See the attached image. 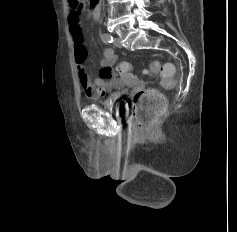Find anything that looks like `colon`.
<instances>
[{
	"mask_svg": "<svg viewBox=\"0 0 237 232\" xmlns=\"http://www.w3.org/2000/svg\"><path fill=\"white\" fill-rule=\"evenodd\" d=\"M72 11L75 14H82L85 10L84 0H68ZM131 66L127 62L118 65L119 73L128 72ZM146 74L154 76L161 75V84L164 88L170 89L175 84V69L171 64L161 65L153 61ZM165 108V100L160 92L155 89H145L136 93L134 97V113L132 121L135 126L143 132H149Z\"/></svg>",
	"mask_w": 237,
	"mask_h": 232,
	"instance_id": "1",
	"label": "colon"
}]
</instances>
